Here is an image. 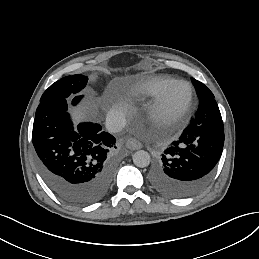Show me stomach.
I'll return each instance as SVG.
<instances>
[{
  "mask_svg": "<svg viewBox=\"0 0 259 259\" xmlns=\"http://www.w3.org/2000/svg\"><path fill=\"white\" fill-rule=\"evenodd\" d=\"M142 68L143 69H150L151 68V63L150 62H144L142 64Z\"/></svg>",
  "mask_w": 259,
  "mask_h": 259,
  "instance_id": "1",
  "label": "stomach"
}]
</instances>
